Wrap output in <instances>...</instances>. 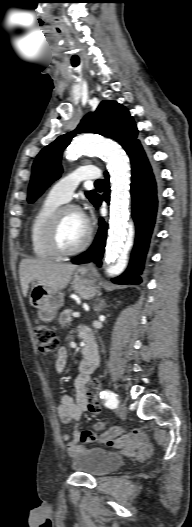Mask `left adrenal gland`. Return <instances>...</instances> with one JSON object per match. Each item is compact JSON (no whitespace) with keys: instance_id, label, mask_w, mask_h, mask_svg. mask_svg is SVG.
Returning a JSON list of instances; mask_svg holds the SVG:
<instances>
[{"instance_id":"1","label":"left adrenal gland","mask_w":192,"mask_h":527,"mask_svg":"<svg viewBox=\"0 0 192 527\" xmlns=\"http://www.w3.org/2000/svg\"><path fill=\"white\" fill-rule=\"evenodd\" d=\"M104 307H105V305L102 304V303H100V304H98V305L96 306V311H97V312H101V311L103 310Z\"/></svg>"}]
</instances>
